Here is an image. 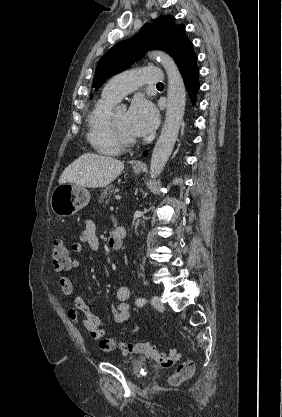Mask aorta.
Segmentation results:
<instances>
[{
    "instance_id": "obj_1",
    "label": "aorta",
    "mask_w": 282,
    "mask_h": 417,
    "mask_svg": "<svg viewBox=\"0 0 282 417\" xmlns=\"http://www.w3.org/2000/svg\"><path fill=\"white\" fill-rule=\"evenodd\" d=\"M150 58H155L165 68L168 78L167 110L161 134L154 146L150 162L151 178L161 174L178 138L186 104V88L180 70L172 56L163 50H151ZM125 104L119 106L124 108Z\"/></svg>"
}]
</instances>
